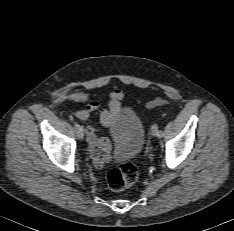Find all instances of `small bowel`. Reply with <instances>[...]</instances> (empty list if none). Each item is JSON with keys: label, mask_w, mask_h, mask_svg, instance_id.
<instances>
[{"label": "small bowel", "mask_w": 234, "mask_h": 231, "mask_svg": "<svg viewBox=\"0 0 234 231\" xmlns=\"http://www.w3.org/2000/svg\"><path fill=\"white\" fill-rule=\"evenodd\" d=\"M67 100L85 102L88 95L82 91H75L65 96ZM124 94L121 90H114L109 96L108 107L100 109L98 102L91 101L88 106L76 112V117L87 122L86 133L89 141V151L92 163L96 168H102L112 160V153L107 139L97 136L98 127L90 122L92 114H96L100 123L105 127H111L120 108V102Z\"/></svg>", "instance_id": "1"}]
</instances>
